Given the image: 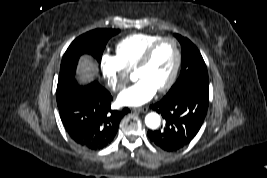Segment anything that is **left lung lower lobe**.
Wrapping results in <instances>:
<instances>
[{
    "label": "left lung lower lobe",
    "mask_w": 267,
    "mask_h": 178,
    "mask_svg": "<svg viewBox=\"0 0 267 178\" xmlns=\"http://www.w3.org/2000/svg\"><path fill=\"white\" fill-rule=\"evenodd\" d=\"M209 104V91L191 85L166 95L151 107L160 113L164 124L148 131L151 141L165 151H177L188 145L200 130Z\"/></svg>",
    "instance_id": "1"
}]
</instances>
